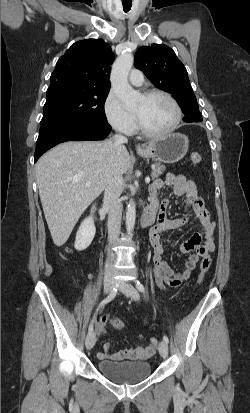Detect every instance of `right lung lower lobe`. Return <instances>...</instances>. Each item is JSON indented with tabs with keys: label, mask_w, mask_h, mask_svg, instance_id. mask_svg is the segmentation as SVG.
I'll list each match as a JSON object with an SVG mask.
<instances>
[{
	"label": "right lung lower lobe",
	"mask_w": 250,
	"mask_h": 413,
	"mask_svg": "<svg viewBox=\"0 0 250 413\" xmlns=\"http://www.w3.org/2000/svg\"><path fill=\"white\" fill-rule=\"evenodd\" d=\"M111 129L108 122L90 121H71L52 126L39 133L34 160L36 162L47 150L65 141L102 140Z\"/></svg>",
	"instance_id": "98d812e1"
}]
</instances>
